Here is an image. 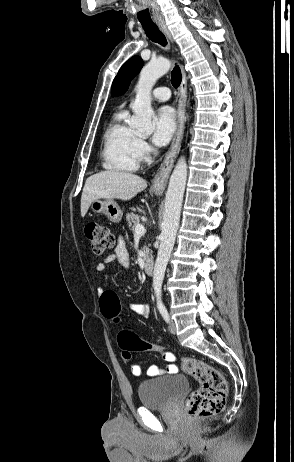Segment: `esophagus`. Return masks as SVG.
Instances as JSON below:
<instances>
[{
  "label": "esophagus",
  "mask_w": 294,
  "mask_h": 462,
  "mask_svg": "<svg viewBox=\"0 0 294 462\" xmlns=\"http://www.w3.org/2000/svg\"><path fill=\"white\" fill-rule=\"evenodd\" d=\"M158 27L160 30L167 36V38L173 42V37L168 30L164 21L157 22ZM182 81L180 84L179 89V102H178V109H177V130L174 135L172 144L167 151L165 158L155 175L152 181V189L155 192L162 193L167 185L169 175L174 165V160L179 152L181 140L184 133V125H185V103L187 98V77L184 67L182 66Z\"/></svg>",
  "instance_id": "esophagus-1"
}]
</instances>
